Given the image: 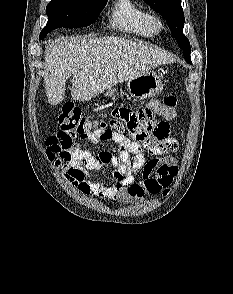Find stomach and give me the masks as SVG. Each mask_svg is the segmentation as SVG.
Returning a JSON list of instances; mask_svg holds the SVG:
<instances>
[{"label":"stomach","mask_w":233,"mask_h":294,"mask_svg":"<svg viewBox=\"0 0 233 294\" xmlns=\"http://www.w3.org/2000/svg\"><path fill=\"white\" fill-rule=\"evenodd\" d=\"M161 77L154 71H148L127 81V90L131 97L146 99L157 95L162 90ZM116 89H109L105 96L112 97Z\"/></svg>","instance_id":"0dacf381"}]
</instances>
